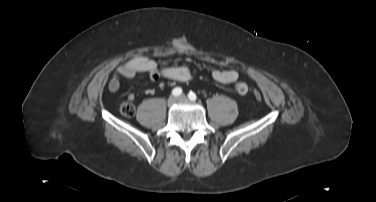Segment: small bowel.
<instances>
[{
	"label": "small bowel",
	"mask_w": 376,
	"mask_h": 202,
	"mask_svg": "<svg viewBox=\"0 0 376 202\" xmlns=\"http://www.w3.org/2000/svg\"><path fill=\"white\" fill-rule=\"evenodd\" d=\"M138 74H144L151 80L165 78L181 83L192 79V73L186 66H166L159 68L154 60L146 56H137L127 60L115 70L108 83L109 91L112 93L117 92L120 88L122 78H133ZM213 78L221 84L236 82L234 84V91L238 95L243 96L248 91L247 84L238 81L239 73L234 69L215 70ZM134 99V94L128 95V100L133 101Z\"/></svg>",
	"instance_id": "1"
}]
</instances>
